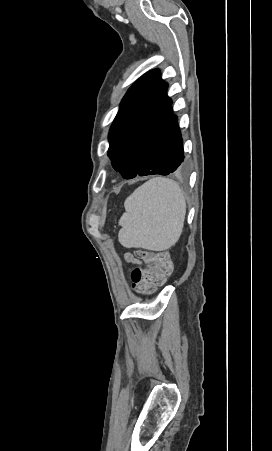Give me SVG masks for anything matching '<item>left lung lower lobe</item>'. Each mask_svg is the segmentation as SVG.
<instances>
[{
    "mask_svg": "<svg viewBox=\"0 0 272 451\" xmlns=\"http://www.w3.org/2000/svg\"><path fill=\"white\" fill-rule=\"evenodd\" d=\"M185 167L183 140L171 103L150 140L137 175H169Z\"/></svg>",
    "mask_w": 272,
    "mask_h": 451,
    "instance_id": "0a47b994",
    "label": "left lung lower lobe"
}]
</instances>
